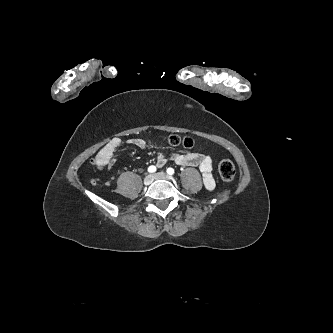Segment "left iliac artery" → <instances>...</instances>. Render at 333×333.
<instances>
[{
	"label": "left iliac artery",
	"instance_id": "left-iliac-artery-1",
	"mask_svg": "<svg viewBox=\"0 0 333 333\" xmlns=\"http://www.w3.org/2000/svg\"><path fill=\"white\" fill-rule=\"evenodd\" d=\"M174 172H175L174 169L171 168V167H169V168L167 169V173H168L169 175H173Z\"/></svg>",
	"mask_w": 333,
	"mask_h": 333
}]
</instances>
